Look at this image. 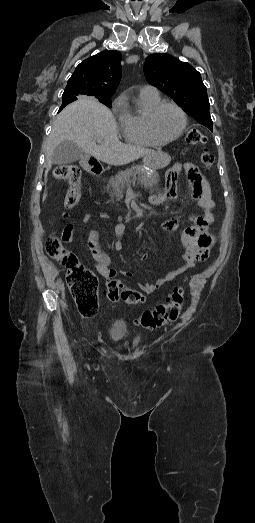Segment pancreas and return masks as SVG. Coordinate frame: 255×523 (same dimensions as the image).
<instances>
[{
  "instance_id": "pancreas-1",
  "label": "pancreas",
  "mask_w": 255,
  "mask_h": 523,
  "mask_svg": "<svg viewBox=\"0 0 255 523\" xmlns=\"http://www.w3.org/2000/svg\"><path fill=\"white\" fill-rule=\"evenodd\" d=\"M158 180L159 174H156V172L147 174L146 170H143V166H132V168H128L124 172H118L115 178H110L108 190H111L112 198L115 196L117 200H121L125 186L131 184V182L132 184L138 182L144 188H152V186H156Z\"/></svg>"
}]
</instances>
